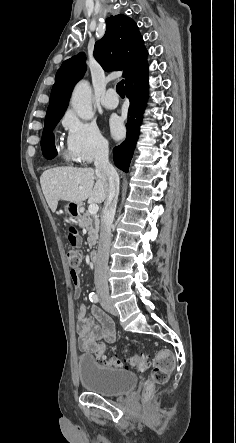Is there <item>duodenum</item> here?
<instances>
[{"label":"duodenum","instance_id":"obj_1","mask_svg":"<svg viewBox=\"0 0 236 443\" xmlns=\"http://www.w3.org/2000/svg\"><path fill=\"white\" fill-rule=\"evenodd\" d=\"M89 259H90L91 263L96 264V262H97V255H96V253H94V252L90 253Z\"/></svg>","mask_w":236,"mask_h":443}]
</instances>
